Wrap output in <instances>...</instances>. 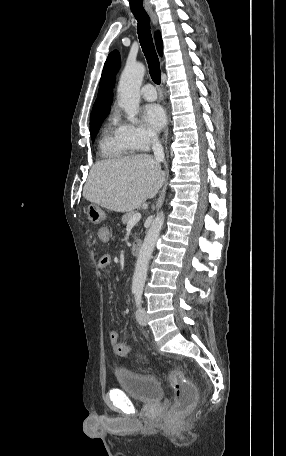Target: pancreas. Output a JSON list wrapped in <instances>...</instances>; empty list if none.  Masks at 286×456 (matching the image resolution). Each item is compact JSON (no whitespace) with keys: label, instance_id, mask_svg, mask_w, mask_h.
<instances>
[{"label":"pancreas","instance_id":"obj_1","mask_svg":"<svg viewBox=\"0 0 286 456\" xmlns=\"http://www.w3.org/2000/svg\"><path fill=\"white\" fill-rule=\"evenodd\" d=\"M135 213H136L135 211H130V212H127L125 215H123L122 223L127 224Z\"/></svg>","mask_w":286,"mask_h":456}]
</instances>
